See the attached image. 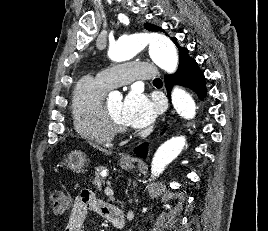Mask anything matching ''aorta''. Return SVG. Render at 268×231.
<instances>
[{"mask_svg":"<svg viewBox=\"0 0 268 231\" xmlns=\"http://www.w3.org/2000/svg\"><path fill=\"white\" fill-rule=\"evenodd\" d=\"M147 44L153 62L168 73H174L178 67V53L174 43L162 34H135L121 37L110 45L108 56L111 60L122 62L132 59ZM110 97L121 98L118 92H111ZM172 104L176 112L184 119L196 115V106L192 97L180 87L172 91ZM186 143L184 136L172 137L164 142L155 152L151 163V177H158L183 150Z\"/></svg>","mask_w":268,"mask_h":231,"instance_id":"aorta-1","label":"aorta"}]
</instances>
